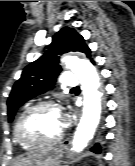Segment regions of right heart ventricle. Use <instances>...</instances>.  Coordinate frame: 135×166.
Returning a JSON list of instances; mask_svg holds the SVG:
<instances>
[{"instance_id":"right-heart-ventricle-1","label":"right heart ventricle","mask_w":135,"mask_h":166,"mask_svg":"<svg viewBox=\"0 0 135 166\" xmlns=\"http://www.w3.org/2000/svg\"><path fill=\"white\" fill-rule=\"evenodd\" d=\"M13 136H14L15 141H16L21 147H23L24 149H30L29 147H26V146L21 145V144L17 141V139H16V137H15L14 129H13Z\"/></svg>"}]
</instances>
